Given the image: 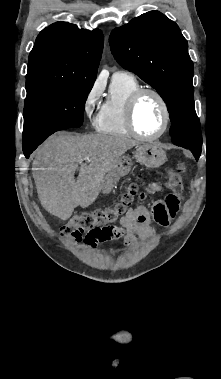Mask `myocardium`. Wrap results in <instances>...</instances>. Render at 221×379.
<instances>
[{
  "mask_svg": "<svg viewBox=\"0 0 221 379\" xmlns=\"http://www.w3.org/2000/svg\"><path fill=\"white\" fill-rule=\"evenodd\" d=\"M146 94H151L154 97H156L163 110V115H164L163 126L161 130L155 135H144L140 133L135 123V112H136L137 104L139 100ZM125 118H126L127 127L132 135L142 140L152 141V140L159 139L167 131L170 124V110L165 98L160 92H158L157 90L153 88H139L131 94V96L129 97L127 101L126 110H125Z\"/></svg>",
  "mask_w": 221,
  "mask_h": 379,
  "instance_id": "1",
  "label": "myocardium"
}]
</instances>
